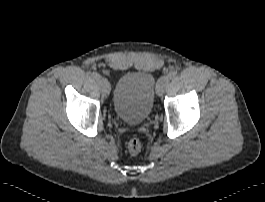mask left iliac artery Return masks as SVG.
<instances>
[{
  "label": "left iliac artery",
  "instance_id": "44dca946",
  "mask_svg": "<svg viewBox=\"0 0 265 202\" xmlns=\"http://www.w3.org/2000/svg\"><path fill=\"white\" fill-rule=\"evenodd\" d=\"M176 75H177V72H176V71H171V72H169L168 77H169L170 79H173V78L176 77Z\"/></svg>",
  "mask_w": 265,
  "mask_h": 202
}]
</instances>
